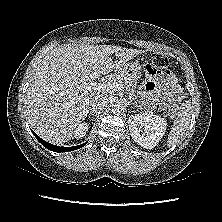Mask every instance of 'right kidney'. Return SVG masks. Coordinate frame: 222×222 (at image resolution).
I'll use <instances>...</instances> for the list:
<instances>
[{"instance_id":"ca27d5eb","label":"right kidney","mask_w":222,"mask_h":222,"mask_svg":"<svg viewBox=\"0 0 222 222\" xmlns=\"http://www.w3.org/2000/svg\"><path fill=\"white\" fill-rule=\"evenodd\" d=\"M88 131V124L83 122L78 124V126L73 131L74 138L80 139L85 136Z\"/></svg>"}]
</instances>
